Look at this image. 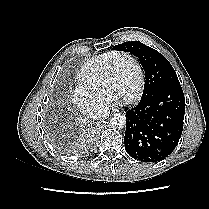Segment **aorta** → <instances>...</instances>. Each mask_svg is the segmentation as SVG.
<instances>
[{"instance_id":"762f6f07","label":"aorta","mask_w":209,"mask_h":209,"mask_svg":"<svg viewBox=\"0 0 209 209\" xmlns=\"http://www.w3.org/2000/svg\"><path fill=\"white\" fill-rule=\"evenodd\" d=\"M110 125L114 128H123L126 125V117L122 114H114L110 119Z\"/></svg>"}]
</instances>
